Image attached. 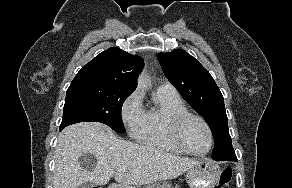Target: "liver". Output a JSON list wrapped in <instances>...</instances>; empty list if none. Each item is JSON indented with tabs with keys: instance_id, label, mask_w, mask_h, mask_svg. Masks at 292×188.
I'll list each match as a JSON object with an SVG mask.
<instances>
[{
	"instance_id": "obj_1",
	"label": "liver",
	"mask_w": 292,
	"mask_h": 188,
	"mask_svg": "<svg viewBox=\"0 0 292 188\" xmlns=\"http://www.w3.org/2000/svg\"><path fill=\"white\" fill-rule=\"evenodd\" d=\"M84 154L95 157L93 168L80 165L79 158ZM198 161L118 139L100 123H77L66 127L59 135L53 188H78L87 182L106 185L112 176L120 183L118 188H136L176 178ZM120 168L126 170L119 171Z\"/></svg>"
}]
</instances>
